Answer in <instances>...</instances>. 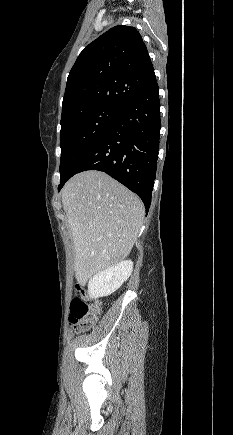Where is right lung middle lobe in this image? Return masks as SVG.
<instances>
[{"label": "right lung middle lobe", "instance_id": "1", "mask_svg": "<svg viewBox=\"0 0 233 435\" xmlns=\"http://www.w3.org/2000/svg\"><path fill=\"white\" fill-rule=\"evenodd\" d=\"M120 110L116 107H97L61 122V179L101 136Z\"/></svg>", "mask_w": 233, "mask_h": 435}]
</instances>
